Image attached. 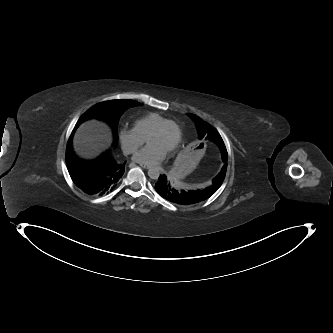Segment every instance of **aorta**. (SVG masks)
Returning a JSON list of instances; mask_svg holds the SVG:
<instances>
[{
  "label": "aorta",
  "mask_w": 333,
  "mask_h": 333,
  "mask_svg": "<svg viewBox=\"0 0 333 333\" xmlns=\"http://www.w3.org/2000/svg\"><path fill=\"white\" fill-rule=\"evenodd\" d=\"M160 172L156 168H151L148 170V176L151 179H158Z\"/></svg>",
  "instance_id": "aorta-1"
}]
</instances>
